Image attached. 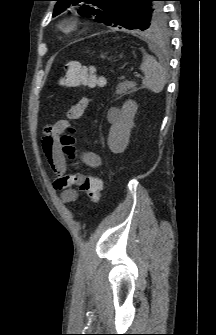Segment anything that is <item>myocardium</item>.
I'll return each instance as SVG.
<instances>
[{
    "label": "myocardium",
    "instance_id": "myocardium-1",
    "mask_svg": "<svg viewBox=\"0 0 216 335\" xmlns=\"http://www.w3.org/2000/svg\"><path fill=\"white\" fill-rule=\"evenodd\" d=\"M59 29L65 34H70L78 29V23L73 18H65L59 23Z\"/></svg>",
    "mask_w": 216,
    "mask_h": 335
}]
</instances>
